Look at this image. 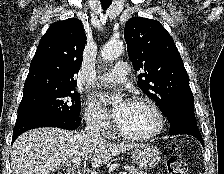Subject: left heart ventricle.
Returning a JSON list of instances; mask_svg holds the SVG:
<instances>
[{
  "label": "left heart ventricle",
  "instance_id": "b2bd125f",
  "mask_svg": "<svg viewBox=\"0 0 224 174\" xmlns=\"http://www.w3.org/2000/svg\"><path fill=\"white\" fill-rule=\"evenodd\" d=\"M157 119L146 104L128 103L118 127L133 135L146 134L156 127Z\"/></svg>",
  "mask_w": 224,
  "mask_h": 174
}]
</instances>
